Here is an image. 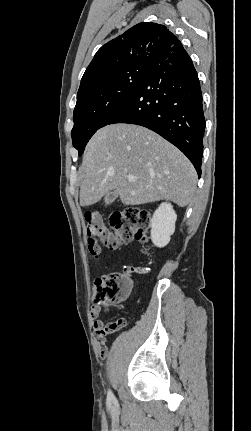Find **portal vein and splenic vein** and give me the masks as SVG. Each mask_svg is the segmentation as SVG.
<instances>
[{
    "label": "portal vein and splenic vein",
    "mask_w": 251,
    "mask_h": 431,
    "mask_svg": "<svg viewBox=\"0 0 251 431\" xmlns=\"http://www.w3.org/2000/svg\"><path fill=\"white\" fill-rule=\"evenodd\" d=\"M127 180H128L129 182H133V181L135 180V178H134V176H128V177H127Z\"/></svg>",
    "instance_id": "18ae733b"
}]
</instances>
